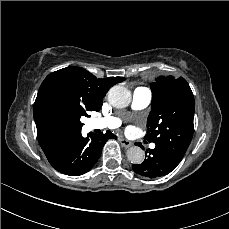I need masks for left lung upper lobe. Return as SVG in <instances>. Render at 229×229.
Returning <instances> with one entry per match:
<instances>
[{
  "instance_id": "left-lung-upper-lobe-1",
  "label": "left lung upper lobe",
  "mask_w": 229,
  "mask_h": 229,
  "mask_svg": "<svg viewBox=\"0 0 229 229\" xmlns=\"http://www.w3.org/2000/svg\"><path fill=\"white\" fill-rule=\"evenodd\" d=\"M152 104L147 119L149 142L163 146L181 161L191 142L195 102L183 77L161 76L151 83Z\"/></svg>"
}]
</instances>
